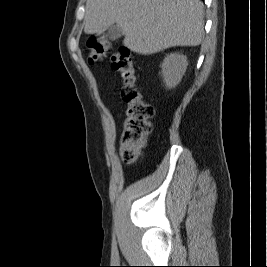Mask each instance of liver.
Returning <instances> with one entry per match:
<instances>
[{
  "instance_id": "6515ba94",
  "label": "liver",
  "mask_w": 267,
  "mask_h": 267,
  "mask_svg": "<svg viewBox=\"0 0 267 267\" xmlns=\"http://www.w3.org/2000/svg\"><path fill=\"white\" fill-rule=\"evenodd\" d=\"M199 0H87L84 32L100 34L116 23L131 51L154 54L175 46H197L204 37Z\"/></svg>"
}]
</instances>
